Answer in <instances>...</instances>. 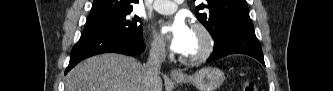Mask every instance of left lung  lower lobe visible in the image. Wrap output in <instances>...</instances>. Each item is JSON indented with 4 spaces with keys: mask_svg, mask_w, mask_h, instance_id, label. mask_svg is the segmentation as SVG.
Segmentation results:
<instances>
[{
    "mask_svg": "<svg viewBox=\"0 0 333 91\" xmlns=\"http://www.w3.org/2000/svg\"><path fill=\"white\" fill-rule=\"evenodd\" d=\"M214 41L213 53L207 61L240 53L255 57L265 65L261 46L251 22L239 23L226 28Z\"/></svg>",
    "mask_w": 333,
    "mask_h": 91,
    "instance_id": "obj_1",
    "label": "left lung lower lobe"
}]
</instances>
